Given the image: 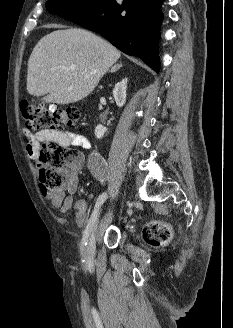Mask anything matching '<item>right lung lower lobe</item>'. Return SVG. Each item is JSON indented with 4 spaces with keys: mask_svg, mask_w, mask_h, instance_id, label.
<instances>
[{
    "mask_svg": "<svg viewBox=\"0 0 233 328\" xmlns=\"http://www.w3.org/2000/svg\"><path fill=\"white\" fill-rule=\"evenodd\" d=\"M164 0H100L95 5L64 17L98 31L114 46L141 58L159 72L158 39Z\"/></svg>",
    "mask_w": 233,
    "mask_h": 328,
    "instance_id": "right-lung-lower-lobe-1",
    "label": "right lung lower lobe"
}]
</instances>
